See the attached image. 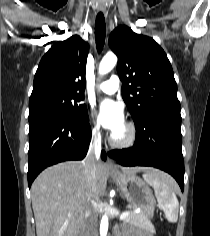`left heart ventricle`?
<instances>
[{"instance_id": "obj_1", "label": "left heart ventricle", "mask_w": 210, "mask_h": 236, "mask_svg": "<svg viewBox=\"0 0 210 236\" xmlns=\"http://www.w3.org/2000/svg\"><path fill=\"white\" fill-rule=\"evenodd\" d=\"M127 130L125 125L119 129L117 132L114 133V137L117 139H123L126 136Z\"/></svg>"}]
</instances>
